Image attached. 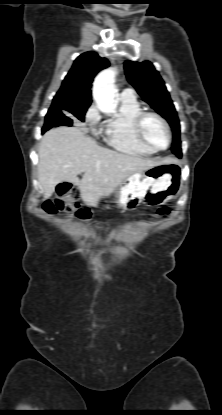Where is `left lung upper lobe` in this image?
Listing matches in <instances>:
<instances>
[{
	"label": "left lung upper lobe",
	"mask_w": 222,
	"mask_h": 415,
	"mask_svg": "<svg viewBox=\"0 0 222 415\" xmlns=\"http://www.w3.org/2000/svg\"><path fill=\"white\" fill-rule=\"evenodd\" d=\"M125 73L129 83L153 109L163 116L173 131L172 152L181 156L180 124L165 83L149 61H126Z\"/></svg>",
	"instance_id": "1"
}]
</instances>
